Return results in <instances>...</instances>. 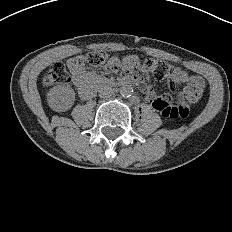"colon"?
I'll return each mask as SVG.
<instances>
[{"label": "colon", "instance_id": "obj_1", "mask_svg": "<svg viewBox=\"0 0 232 232\" xmlns=\"http://www.w3.org/2000/svg\"><path fill=\"white\" fill-rule=\"evenodd\" d=\"M108 60V55L103 51H93L88 53L85 57L78 58L81 64H87L92 68H104L105 62ZM147 68L145 73H150L155 79L163 80L169 77L174 68L167 62L157 59H145ZM70 81L66 66L61 63L53 64L44 76V83L47 86L66 84ZM203 89L194 85H187L184 89L185 97L190 104L197 103L202 96ZM166 99L165 96H162ZM156 105L161 106L162 102L157 101ZM162 114L171 119L184 118L188 115V108L186 105H173L168 102L163 109Z\"/></svg>", "mask_w": 232, "mask_h": 232}]
</instances>
